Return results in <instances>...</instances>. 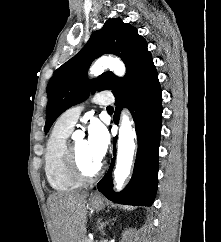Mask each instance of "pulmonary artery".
Listing matches in <instances>:
<instances>
[{"mask_svg":"<svg viewBox=\"0 0 221 242\" xmlns=\"http://www.w3.org/2000/svg\"><path fill=\"white\" fill-rule=\"evenodd\" d=\"M110 98L111 95L109 92H103L95 95L92 98V102L99 105H107L110 103ZM83 108L84 106L82 104L69 108L60 116V118L56 122V125L61 129L72 131L76 122L79 119Z\"/></svg>","mask_w":221,"mask_h":242,"instance_id":"pulmonary-artery-1","label":"pulmonary artery"}]
</instances>
